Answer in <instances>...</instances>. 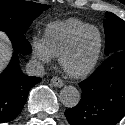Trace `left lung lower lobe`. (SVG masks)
Listing matches in <instances>:
<instances>
[{
    "mask_svg": "<svg viewBox=\"0 0 125 125\" xmlns=\"http://www.w3.org/2000/svg\"><path fill=\"white\" fill-rule=\"evenodd\" d=\"M81 100L65 111L71 125H116L125 116V51L115 52L82 81Z\"/></svg>",
    "mask_w": 125,
    "mask_h": 125,
    "instance_id": "obj_1",
    "label": "left lung lower lobe"
}]
</instances>
